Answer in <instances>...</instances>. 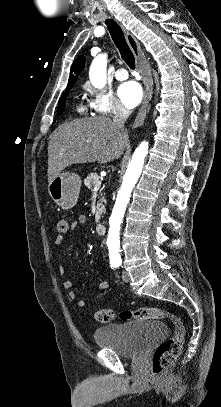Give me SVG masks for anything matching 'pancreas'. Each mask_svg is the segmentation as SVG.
<instances>
[{
	"label": "pancreas",
	"instance_id": "pancreas-1",
	"mask_svg": "<svg viewBox=\"0 0 221 407\" xmlns=\"http://www.w3.org/2000/svg\"><path fill=\"white\" fill-rule=\"evenodd\" d=\"M99 175L97 173H91L89 174L85 180H84V185L88 190H91L94 186L95 183L99 180ZM100 202L97 205V210L95 213V222H99L101 215L105 209V206L103 205V203L106 202L105 198L102 197L100 200Z\"/></svg>",
	"mask_w": 221,
	"mask_h": 407
}]
</instances>
